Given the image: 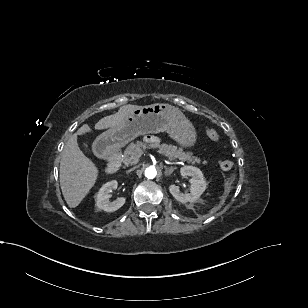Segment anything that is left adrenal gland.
<instances>
[{"mask_svg": "<svg viewBox=\"0 0 308 308\" xmlns=\"http://www.w3.org/2000/svg\"><path fill=\"white\" fill-rule=\"evenodd\" d=\"M174 170H175L174 167H170V168H166V167H165V172H164L165 176L171 175V174L173 173Z\"/></svg>", "mask_w": 308, "mask_h": 308, "instance_id": "a2214340", "label": "left adrenal gland"}]
</instances>
